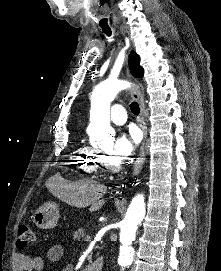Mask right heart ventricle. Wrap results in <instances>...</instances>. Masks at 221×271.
<instances>
[{
    "mask_svg": "<svg viewBox=\"0 0 221 271\" xmlns=\"http://www.w3.org/2000/svg\"><path fill=\"white\" fill-rule=\"evenodd\" d=\"M90 163V158H71V163ZM97 164H80V169L84 172V176H91V172H96Z\"/></svg>",
    "mask_w": 221,
    "mask_h": 271,
    "instance_id": "obj_1",
    "label": "right heart ventricle"
}]
</instances>
